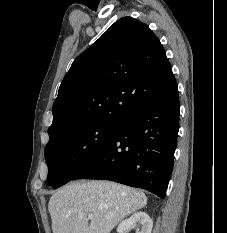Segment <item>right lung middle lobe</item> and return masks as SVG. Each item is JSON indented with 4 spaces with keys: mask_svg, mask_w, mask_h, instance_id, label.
Returning <instances> with one entry per match:
<instances>
[{
    "mask_svg": "<svg viewBox=\"0 0 227 233\" xmlns=\"http://www.w3.org/2000/svg\"><path fill=\"white\" fill-rule=\"evenodd\" d=\"M119 123H90L51 138L45 148L48 185L56 189L72 180L113 136Z\"/></svg>",
    "mask_w": 227,
    "mask_h": 233,
    "instance_id": "1",
    "label": "right lung middle lobe"
}]
</instances>
